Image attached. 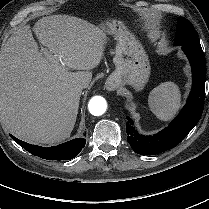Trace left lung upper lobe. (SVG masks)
Instances as JSON below:
<instances>
[{
  "label": "left lung upper lobe",
  "instance_id": "left-lung-upper-lobe-1",
  "mask_svg": "<svg viewBox=\"0 0 209 209\" xmlns=\"http://www.w3.org/2000/svg\"><path fill=\"white\" fill-rule=\"evenodd\" d=\"M196 31L189 20L180 17L177 21V32L175 37V45L186 43H199Z\"/></svg>",
  "mask_w": 209,
  "mask_h": 209
}]
</instances>
